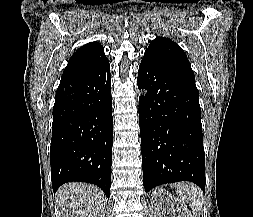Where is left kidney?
<instances>
[{"label": "left kidney", "mask_w": 253, "mask_h": 217, "mask_svg": "<svg viewBox=\"0 0 253 217\" xmlns=\"http://www.w3.org/2000/svg\"><path fill=\"white\" fill-rule=\"evenodd\" d=\"M164 205L169 206V210L174 217H193L184 202L174 197L167 190L158 188L152 195V207L154 208L155 217H165L166 208H164Z\"/></svg>", "instance_id": "obj_1"}]
</instances>
